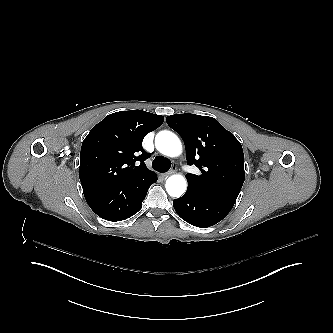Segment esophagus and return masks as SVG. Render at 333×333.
<instances>
[{
  "label": "esophagus",
  "mask_w": 333,
  "mask_h": 333,
  "mask_svg": "<svg viewBox=\"0 0 333 333\" xmlns=\"http://www.w3.org/2000/svg\"><path fill=\"white\" fill-rule=\"evenodd\" d=\"M176 168H177L176 164H173L171 170L168 171L167 173L163 174V176L168 177L169 175L173 174L175 172Z\"/></svg>",
  "instance_id": "obj_1"
}]
</instances>
